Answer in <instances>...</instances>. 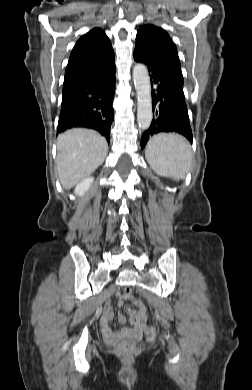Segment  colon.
I'll return each instance as SVG.
<instances>
[{"mask_svg": "<svg viewBox=\"0 0 252 390\" xmlns=\"http://www.w3.org/2000/svg\"><path fill=\"white\" fill-rule=\"evenodd\" d=\"M124 296L125 297L131 296V290L129 288L124 289ZM148 331L149 332L153 331V325H150ZM138 346H139V340H128L118 344L116 346V351L123 356H129L132 355L138 349Z\"/></svg>", "mask_w": 252, "mask_h": 390, "instance_id": "colon-1", "label": "colon"}]
</instances>
